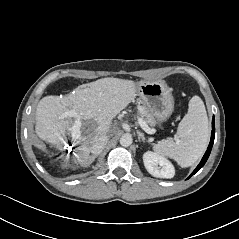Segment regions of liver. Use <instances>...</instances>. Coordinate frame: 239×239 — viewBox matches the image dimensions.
<instances>
[{
	"instance_id": "liver-1",
	"label": "liver",
	"mask_w": 239,
	"mask_h": 239,
	"mask_svg": "<svg viewBox=\"0 0 239 239\" xmlns=\"http://www.w3.org/2000/svg\"><path fill=\"white\" fill-rule=\"evenodd\" d=\"M136 92L137 83L132 80L102 78L80 85L64 97L45 96L36 107L35 133L40 140L60 146L76 122L74 117L62 118L66 111L74 110L80 118V126L74 132L71 131L76 135L80 134L82 121L95 122L94 134L82 138V151L76 158L81 164H89L92 159L90 152L99 154L94 148L97 137L107 135L112 119L131 103ZM37 146L45 148L43 143Z\"/></svg>"
}]
</instances>
